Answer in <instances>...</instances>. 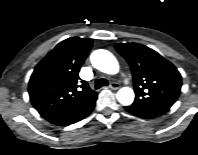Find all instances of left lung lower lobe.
I'll return each instance as SVG.
<instances>
[{
  "instance_id": "0a47b994",
  "label": "left lung lower lobe",
  "mask_w": 198,
  "mask_h": 155,
  "mask_svg": "<svg viewBox=\"0 0 198 155\" xmlns=\"http://www.w3.org/2000/svg\"><path fill=\"white\" fill-rule=\"evenodd\" d=\"M125 110L137 117L156 118L165 114L169 109H166V108L150 109V108L139 107L136 105H131V106L125 107Z\"/></svg>"
}]
</instances>
